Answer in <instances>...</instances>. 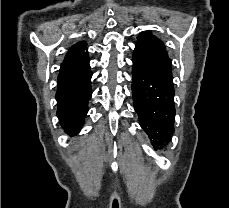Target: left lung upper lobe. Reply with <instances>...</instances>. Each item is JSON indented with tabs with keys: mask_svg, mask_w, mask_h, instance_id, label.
Returning a JSON list of instances; mask_svg holds the SVG:
<instances>
[{
	"mask_svg": "<svg viewBox=\"0 0 229 208\" xmlns=\"http://www.w3.org/2000/svg\"><path fill=\"white\" fill-rule=\"evenodd\" d=\"M133 59L138 61L157 81L173 87L171 60L164 43L152 35L151 31L137 37Z\"/></svg>",
	"mask_w": 229,
	"mask_h": 208,
	"instance_id": "5c2ea615",
	"label": "left lung upper lobe"
}]
</instances>
